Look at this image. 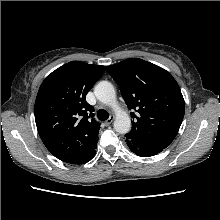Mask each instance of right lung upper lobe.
I'll use <instances>...</instances> for the list:
<instances>
[{
  "label": "right lung upper lobe",
  "mask_w": 220,
  "mask_h": 220,
  "mask_svg": "<svg viewBox=\"0 0 220 220\" xmlns=\"http://www.w3.org/2000/svg\"><path fill=\"white\" fill-rule=\"evenodd\" d=\"M103 72L104 66L71 61L49 74L39 88L37 130L46 148L64 162L76 164L97 146L100 124L86 95Z\"/></svg>",
  "instance_id": "cb5924a9"
}]
</instances>
